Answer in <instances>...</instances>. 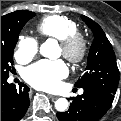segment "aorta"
Returning <instances> with one entry per match:
<instances>
[{"instance_id": "obj_1", "label": "aorta", "mask_w": 121, "mask_h": 121, "mask_svg": "<svg viewBox=\"0 0 121 121\" xmlns=\"http://www.w3.org/2000/svg\"><path fill=\"white\" fill-rule=\"evenodd\" d=\"M58 49L57 41L54 39H48L46 42L42 43L40 46V54L43 57L49 59L57 58L56 52ZM69 103L65 98H59L55 101V108L59 112H64L68 108Z\"/></svg>"}]
</instances>
